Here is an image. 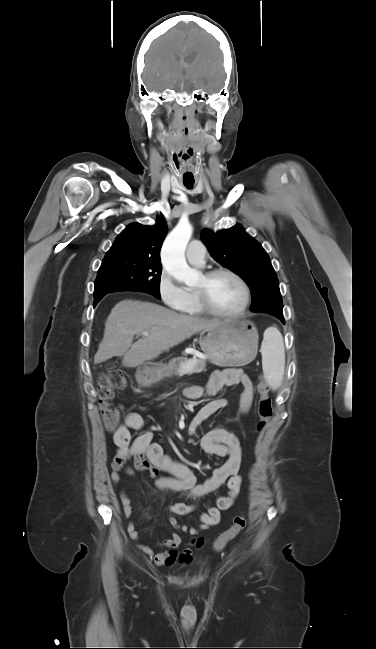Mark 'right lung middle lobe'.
Segmentation results:
<instances>
[{"label": "right lung middle lobe", "instance_id": "1", "mask_svg": "<svg viewBox=\"0 0 376 649\" xmlns=\"http://www.w3.org/2000/svg\"><path fill=\"white\" fill-rule=\"evenodd\" d=\"M161 264L149 257L116 254L106 255L95 281L96 304L113 291H141L160 299Z\"/></svg>", "mask_w": 376, "mask_h": 649}]
</instances>
